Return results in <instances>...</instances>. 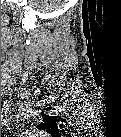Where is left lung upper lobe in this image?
<instances>
[{"mask_svg": "<svg viewBox=\"0 0 121 137\" xmlns=\"http://www.w3.org/2000/svg\"><path fill=\"white\" fill-rule=\"evenodd\" d=\"M43 118H44L43 123L38 125L37 128L45 130L50 134L55 133L57 131V124L55 120L48 115H44Z\"/></svg>", "mask_w": 121, "mask_h": 137, "instance_id": "5c2ea615", "label": "left lung upper lobe"}]
</instances>
